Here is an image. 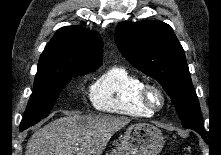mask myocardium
I'll return each instance as SVG.
<instances>
[{
    "instance_id": "obj_1",
    "label": "myocardium",
    "mask_w": 221,
    "mask_h": 155,
    "mask_svg": "<svg viewBox=\"0 0 221 155\" xmlns=\"http://www.w3.org/2000/svg\"><path fill=\"white\" fill-rule=\"evenodd\" d=\"M153 96L157 97V102L153 100ZM140 101L150 111L158 112L164 108L166 97L159 86L155 84H144L140 92Z\"/></svg>"
}]
</instances>
